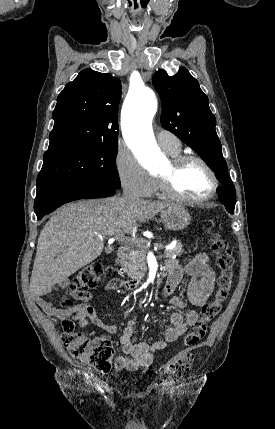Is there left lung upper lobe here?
<instances>
[{
  "instance_id": "5c2ea615",
  "label": "left lung upper lobe",
  "mask_w": 275,
  "mask_h": 429,
  "mask_svg": "<svg viewBox=\"0 0 275 429\" xmlns=\"http://www.w3.org/2000/svg\"><path fill=\"white\" fill-rule=\"evenodd\" d=\"M152 82L162 99V126L194 149L216 173L222 187H226V196L219 200L233 213L236 192L222 155L215 130L216 119L209 108L208 97L184 67L173 76L158 70Z\"/></svg>"
}]
</instances>
